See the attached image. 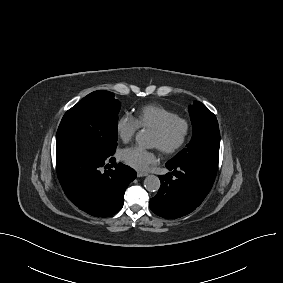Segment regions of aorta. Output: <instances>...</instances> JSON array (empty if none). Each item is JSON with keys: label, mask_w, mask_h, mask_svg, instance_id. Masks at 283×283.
<instances>
[{"label": "aorta", "mask_w": 283, "mask_h": 283, "mask_svg": "<svg viewBox=\"0 0 283 283\" xmlns=\"http://www.w3.org/2000/svg\"><path fill=\"white\" fill-rule=\"evenodd\" d=\"M135 140L140 147H149L150 138L146 132H139ZM161 185L160 179L155 175H149L144 180V187L149 192H156Z\"/></svg>", "instance_id": "aorta-1"}]
</instances>
